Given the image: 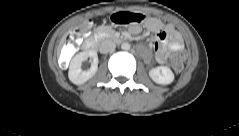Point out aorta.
I'll use <instances>...</instances> for the list:
<instances>
[{"instance_id":"aorta-1","label":"aorta","mask_w":239,"mask_h":136,"mask_svg":"<svg viewBox=\"0 0 239 136\" xmlns=\"http://www.w3.org/2000/svg\"><path fill=\"white\" fill-rule=\"evenodd\" d=\"M121 48L125 51L129 50L130 49V44L129 43H123L121 45Z\"/></svg>"}]
</instances>
